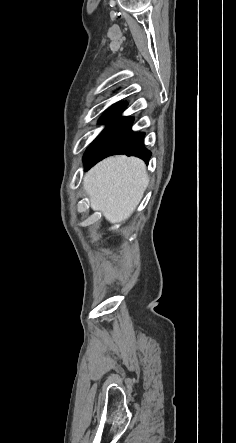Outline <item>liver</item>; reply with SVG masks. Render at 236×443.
<instances>
[{
  "mask_svg": "<svg viewBox=\"0 0 236 443\" xmlns=\"http://www.w3.org/2000/svg\"><path fill=\"white\" fill-rule=\"evenodd\" d=\"M149 183L145 163L135 157L112 156L89 170L83 180L91 208L111 224L127 220Z\"/></svg>",
  "mask_w": 236,
  "mask_h": 443,
  "instance_id": "obj_1",
  "label": "liver"
}]
</instances>
